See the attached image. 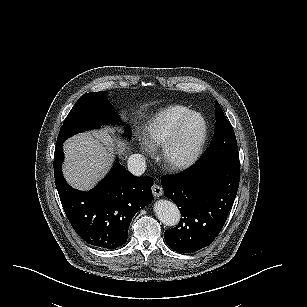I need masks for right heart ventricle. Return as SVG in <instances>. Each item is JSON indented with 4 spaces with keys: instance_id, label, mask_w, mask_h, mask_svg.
Returning a JSON list of instances; mask_svg holds the SVG:
<instances>
[{
    "instance_id": "e07e8e85",
    "label": "right heart ventricle",
    "mask_w": 307,
    "mask_h": 307,
    "mask_svg": "<svg viewBox=\"0 0 307 307\" xmlns=\"http://www.w3.org/2000/svg\"><path fill=\"white\" fill-rule=\"evenodd\" d=\"M183 117V109L178 104H167L148 120V131L156 142L167 141L172 136L173 129L183 120Z\"/></svg>"
}]
</instances>
